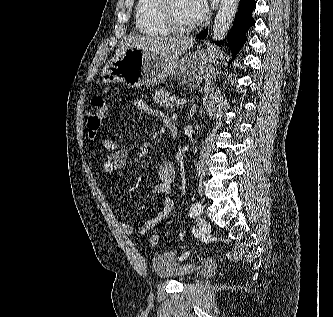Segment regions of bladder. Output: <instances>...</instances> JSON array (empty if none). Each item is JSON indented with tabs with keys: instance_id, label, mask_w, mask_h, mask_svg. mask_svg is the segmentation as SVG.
<instances>
[{
	"instance_id": "bladder-1",
	"label": "bladder",
	"mask_w": 333,
	"mask_h": 317,
	"mask_svg": "<svg viewBox=\"0 0 333 317\" xmlns=\"http://www.w3.org/2000/svg\"><path fill=\"white\" fill-rule=\"evenodd\" d=\"M151 268L160 279L183 281L194 274L197 265L179 260L172 252H163L152 258Z\"/></svg>"
}]
</instances>
